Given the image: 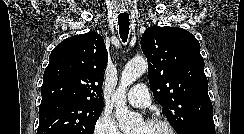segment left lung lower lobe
I'll use <instances>...</instances> for the list:
<instances>
[{"instance_id":"0a47b994","label":"left lung lower lobe","mask_w":244,"mask_h":134,"mask_svg":"<svg viewBox=\"0 0 244 134\" xmlns=\"http://www.w3.org/2000/svg\"><path fill=\"white\" fill-rule=\"evenodd\" d=\"M186 134H216L214 127L201 126L188 131Z\"/></svg>"}]
</instances>
